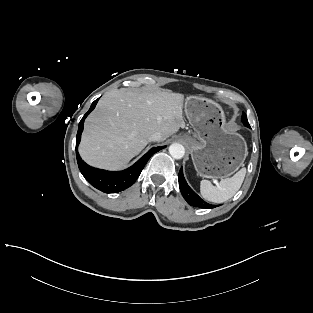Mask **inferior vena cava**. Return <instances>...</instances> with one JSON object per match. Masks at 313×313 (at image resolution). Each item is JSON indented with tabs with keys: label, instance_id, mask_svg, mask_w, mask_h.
Returning a JSON list of instances; mask_svg holds the SVG:
<instances>
[{
	"label": "inferior vena cava",
	"instance_id": "602c4592",
	"mask_svg": "<svg viewBox=\"0 0 313 313\" xmlns=\"http://www.w3.org/2000/svg\"><path fill=\"white\" fill-rule=\"evenodd\" d=\"M150 141H161L162 140V134L161 132H154L149 137Z\"/></svg>",
	"mask_w": 313,
	"mask_h": 313
}]
</instances>
